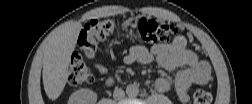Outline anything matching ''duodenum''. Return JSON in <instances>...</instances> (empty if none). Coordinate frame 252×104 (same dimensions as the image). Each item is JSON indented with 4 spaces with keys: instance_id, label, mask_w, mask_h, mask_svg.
<instances>
[{
    "instance_id": "410a0bca",
    "label": "duodenum",
    "mask_w": 252,
    "mask_h": 104,
    "mask_svg": "<svg viewBox=\"0 0 252 104\" xmlns=\"http://www.w3.org/2000/svg\"><path fill=\"white\" fill-rule=\"evenodd\" d=\"M115 81H116V78L110 76V77H108V78L105 80V85H106L107 87H110V86H112V85L115 83Z\"/></svg>"
}]
</instances>
